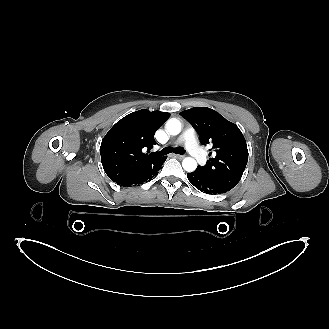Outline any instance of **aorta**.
Instances as JSON below:
<instances>
[{"mask_svg":"<svg viewBox=\"0 0 329 329\" xmlns=\"http://www.w3.org/2000/svg\"><path fill=\"white\" fill-rule=\"evenodd\" d=\"M165 127L166 130L172 135H177L181 131V123L175 118L169 119ZM182 166L185 171L193 172L197 168V162L194 158L186 157L182 162Z\"/></svg>","mask_w":329,"mask_h":329,"instance_id":"762f6f07","label":"aorta"}]
</instances>
